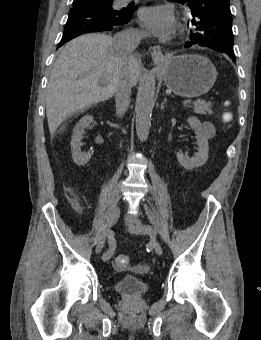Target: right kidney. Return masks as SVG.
Returning a JSON list of instances; mask_svg holds the SVG:
<instances>
[{
    "label": "right kidney",
    "mask_w": 261,
    "mask_h": 340,
    "mask_svg": "<svg viewBox=\"0 0 261 340\" xmlns=\"http://www.w3.org/2000/svg\"><path fill=\"white\" fill-rule=\"evenodd\" d=\"M93 117L86 115L80 119L76 124L72 138H71V151L72 158L78 166H84L92 157L93 151H88L87 153L81 151V140L83 138L84 130L89 127Z\"/></svg>",
    "instance_id": "1"
}]
</instances>
